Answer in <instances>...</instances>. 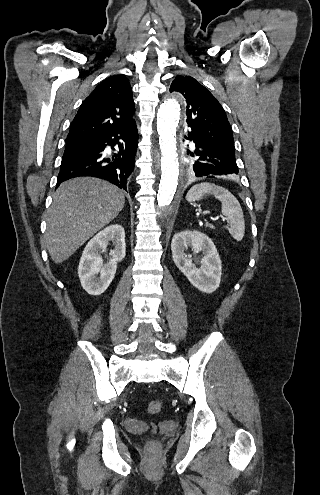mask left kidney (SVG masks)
<instances>
[{"mask_svg": "<svg viewBox=\"0 0 320 495\" xmlns=\"http://www.w3.org/2000/svg\"><path fill=\"white\" fill-rule=\"evenodd\" d=\"M188 248L195 253H204L200 268L192 263V255L185 253ZM171 250L176 266L194 287L205 293H212L219 287L222 264L217 249L208 236L198 231L176 233L171 242Z\"/></svg>", "mask_w": 320, "mask_h": 495, "instance_id": "obj_1", "label": "left kidney"}]
</instances>
